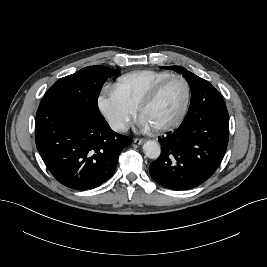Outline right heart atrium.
<instances>
[{
    "label": "right heart atrium",
    "mask_w": 267,
    "mask_h": 267,
    "mask_svg": "<svg viewBox=\"0 0 267 267\" xmlns=\"http://www.w3.org/2000/svg\"><path fill=\"white\" fill-rule=\"evenodd\" d=\"M99 111L110 127L117 131H125L136 115V109L123 100L114 89L104 90L97 99Z\"/></svg>",
    "instance_id": "d8ad5b80"
}]
</instances>
